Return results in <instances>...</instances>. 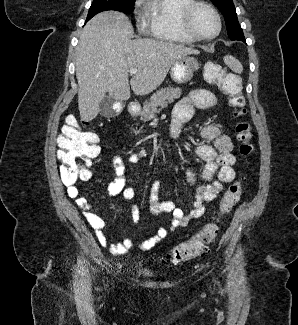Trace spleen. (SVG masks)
<instances>
[{
  "mask_svg": "<svg viewBox=\"0 0 298 325\" xmlns=\"http://www.w3.org/2000/svg\"><path fill=\"white\" fill-rule=\"evenodd\" d=\"M223 60L225 64H227V66L233 70V72H238V74H241V72H243V64H241L238 58L232 56V54H225Z\"/></svg>",
  "mask_w": 298,
  "mask_h": 325,
  "instance_id": "spleen-1",
  "label": "spleen"
}]
</instances>
